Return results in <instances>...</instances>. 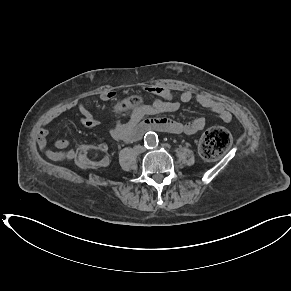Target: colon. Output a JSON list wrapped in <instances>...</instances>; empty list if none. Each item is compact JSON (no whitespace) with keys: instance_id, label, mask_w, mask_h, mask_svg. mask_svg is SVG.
<instances>
[{"instance_id":"5ec220e1","label":"colon","mask_w":291,"mask_h":291,"mask_svg":"<svg viewBox=\"0 0 291 291\" xmlns=\"http://www.w3.org/2000/svg\"><path fill=\"white\" fill-rule=\"evenodd\" d=\"M139 102L137 97H130L118 102L115 108L117 114H121L135 106ZM231 136L229 132L220 126L208 129L201 141L200 152L208 160L220 157L230 146ZM76 162L82 168L100 167L107 164L108 159L100 146L83 145L77 151Z\"/></svg>"}]
</instances>
